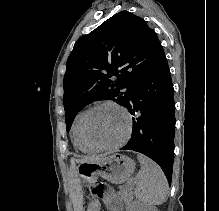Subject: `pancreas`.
<instances>
[{
  "mask_svg": "<svg viewBox=\"0 0 219 211\" xmlns=\"http://www.w3.org/2000/svg\"><path fill=\"white\" fill-rule=\"evenodd\" d=\"M122 199H124L126 205H130L132 199H133V195L131 193V191H129V189L127 187H120V191H119Z\"/></svg>",
  "mask_w": 219,
  "mask_h": 211,
  "instance_id": "cf45deb5",
  "label": "pancreas"
}]
</instances>
